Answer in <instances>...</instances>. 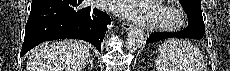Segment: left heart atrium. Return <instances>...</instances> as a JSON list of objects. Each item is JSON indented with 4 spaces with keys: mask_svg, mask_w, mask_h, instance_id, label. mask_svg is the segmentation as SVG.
<instances>
[{
    "mask_svg": "<svg viewBox=\"0 0 230 71\" xmlns=\"http://www.w3.org/2000/svg\"><path fill=\"white\" fill-rule=\"evenodd\" d=\"M153 2L152 0H111L108 4L122 16L144 22L156 17L157 10Z\"/></svg>",
    "mask_w": 230,
    "mask_h": 71,
    "instance_id": "left-heart-atrium-1",
    "label": "left heart atrium"
}]
</instances>
